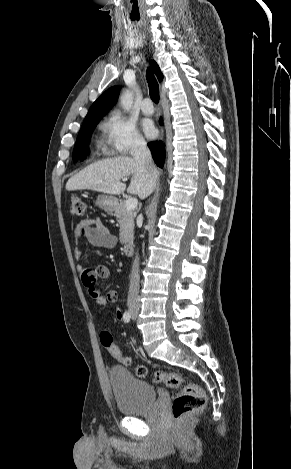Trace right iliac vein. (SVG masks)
I'll return each instance as SVG.
<instances>
[{
	"instance_id": "obj_1",
	"label": "right iliac vein",
	"mask_w": 291,
	"mask_h": 469,
	"mask_svg": "<svg viewBox=\"0 0 291 469\" xmlns=\"http://www.w3.org/2000/svg\"><path fill=\"white\" fill-rule=\"evenodd\" d=\"M130 310H131V312H132L133 314L137 312V308H136V307H131Z\"/></svg>"
}]
</instances>
